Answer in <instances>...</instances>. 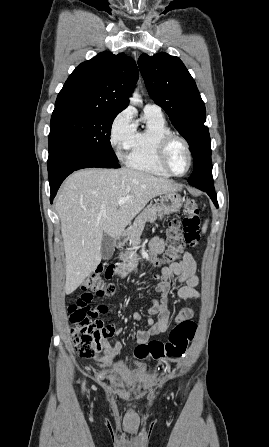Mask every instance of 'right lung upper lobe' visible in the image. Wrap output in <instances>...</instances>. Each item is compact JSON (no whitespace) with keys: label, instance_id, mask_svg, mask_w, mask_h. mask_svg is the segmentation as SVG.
<instances>
[{"label":"right lung upper lobe","instance_id":"1","mask_svg":"<svg viewBox=\"0 0 269 447\" xmlns=\"http://www.w3.org/2000/svg\"><path fill=\"white\" fill-rule=\"evenodd\" d=\"M137 79L138 68L132 58L102 52L72 72L58 94L53 114H118L128 106Z\"/></svg>","mask_w":269,"mask_h":447}]
</instances>
